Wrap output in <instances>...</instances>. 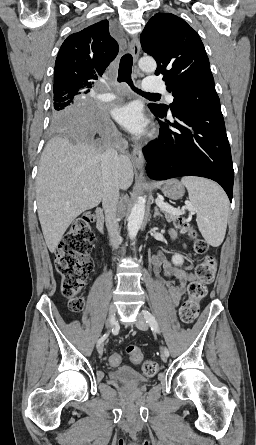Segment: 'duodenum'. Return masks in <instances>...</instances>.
Returning a JSON list of instances; mask_svg holds the SVG:
<instances>
[{"label": "duodenum", "mask_w": 256, "mask_h": 445, "mask_svg": "<svg viewBox=\"0 0 256 445\" xmlns=\"http://www.w3.org/2000/svg\"><path fill=\"white\" fill-rule=\"evenodd\" d=\"M96 216H97L96 227L99 232L104 233L103 211L100 208L96 210Z\"/></svg>", "instance_id": "1"}]
</instances>
